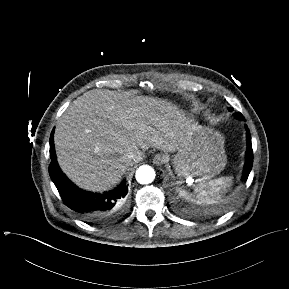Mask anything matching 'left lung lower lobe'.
<instances>
[{
    "instance_id": "obj_1",
    "label": "left lung lower lobe",
    "mask_w": 289,
    "mask_h": 289,
    "mask_svg": "<svg viewBox=\"0 0 289 289\" xmlns=\"http://www.w3.org/2000/svg\"><path fill=\"white\" fill-rule=\"evenodd\" d=\"M246 132H247L248 149L246 152V163H245V168H244L243 177H242L244 181L247 180L249 173L251 171V168H252V164H253V151H252V144H251V136H250L249 129L247 127H246Z\"/></svg>"
}]
</instances>
